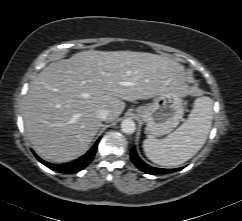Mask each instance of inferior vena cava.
<instances>
[{
	"label": "inferior vena cava",
	"instance_id": "inferior-vena-cava-1",
	"mask_svg": "<svg viewBox=\"0 0 242 221\" xmlns=\"http://www.w3.org/2000/svg\"><path fill=\"white\" fill-rule=\"evenodd\" d=\"M97 114L99 118L103 121H107L109 119V111L106 109H99Z\"/></svg>",
	"mask_w": 242,
	"mask_h": 221
}]
</instances>
